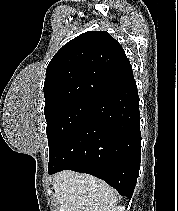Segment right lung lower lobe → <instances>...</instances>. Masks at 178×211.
Here are the masks:
<instances>
[{
  "mask_svg": "<svg viewBox=\"0 0 178 211\" xmlns=\"http://www.w3.org/2000/svg\"><path fill=\"white\" fill-rule=\"evenodd\" d=\"M140 151L139 96L133 79L96 101L49 156L48 173L65 169L88 173L130 199Z\"/></svg>",
  "mask_w": 178,
  "mask_h": 211,
  "instance_id": "1",
  "label": "right lung lower lobe"
}]
</instances>
